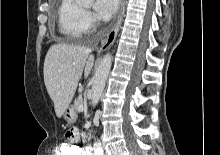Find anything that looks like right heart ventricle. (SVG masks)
Returning a JSON list of instances; mask_svg holds the SVG:
<instances>
[{
    "label": "right heart ventricle",
    "instance_id": "e07e8e85",
    "mask_svg": "<svg viewBox=\"0 0 220 155\" xmlns=\"http://www.w3.org/2000/svg\"><path fill=\"white\" fill-rule=\"evenodd\" d=\"M57 22L60 33L69 40L82 38L88 30L86 12L76 0H60Z\"/></svg>",
    "mask_w": 220,
    "mask_h": 155
}]
</instances>
